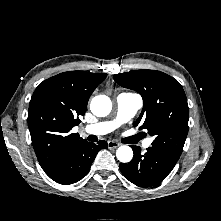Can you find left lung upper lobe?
Wrapping results in <instances>:
<instances>
[{"mask_svg":"<svg viewBox=\"0 0 221 221\" xmlns=\"http://www.w3.org/2000/svg\"><path fill=\"white\" fill-rule=\"evenodd\" d=\"M122 87L137 91L143 109L134 123L154 137L153 147L180 157L188 134L189 108L182 86L173 77L156 70H135L114 75Z\"/></svg>","mask_w":221,"mask_h":221,"instance_id":"left-lung-upper-lobe-1","label":"left lung upper lobe"}]
</instances>
